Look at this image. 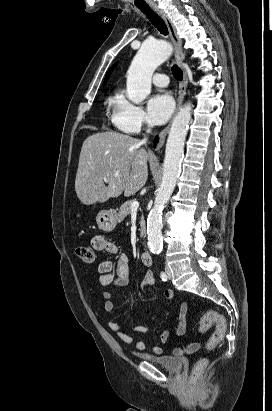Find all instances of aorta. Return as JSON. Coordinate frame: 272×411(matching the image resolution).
<instances>
[{
	"label": "aorta",
	"instance_id": "1",
	"mask_svg": "<svg viewBox=\"0 0 272 411\" xmlns=\"http://www.w3.org/2000/svg\"><path fill=\"white\" fill-rule=\"evenodd\" d=\"M171 52V44L164 40L147 41L141 46L127 72V96L130 101L139 104L145 100L151 91V78L155 69L169 58ZM191 111L190 103L180 109L168 135L162 181L147 219L148 242L154 254L162 251V211L175 189L180 174Z\"/></svg>",
	"mask_w": 272,
	"mask_h": 411
}]
</instances>
